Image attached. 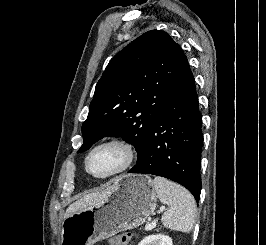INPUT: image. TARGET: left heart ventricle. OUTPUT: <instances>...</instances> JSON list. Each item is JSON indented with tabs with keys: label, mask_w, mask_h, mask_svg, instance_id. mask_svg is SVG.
Returning <instances> with one entry per match:
<instances>
[{
	"label": "left heart ventricle",
	"mask_w": 266,
	"mask_h": 245,
	"mask_svg": "<svg viewBox=\"0 0 266 245\" xmlns=\"http://www.w3.org/2000/svg\"><path fill=\"white\" fill-rule=\"evenodd\" d=\"M125 161V152L115 144L96 149L88 160V170L97 176H106L119 170Z\"/></svg>",
	"instance_id": "1"
}]
</instances>
